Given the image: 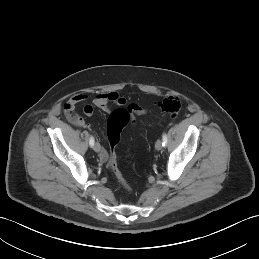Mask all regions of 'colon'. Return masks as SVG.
Instances as JSON below:
<instances>
[{
	"label": "colon",
	"mask_w": 259,
	"mask_h": 259,
	"mask_svg": "<svg viewBox=\"0 0 259 259\" xmlns=\"http://www.w3.org/2000/svg\"><path fill=\"white\" fill-rule=\"evenodd\" d=\"M159 109L167 116L176 117L181 109V102L175 97H168L159 102ZM66 117L73 123L79 120L78 114L74 111V104L68 101L64 105ZM131 119L130 112L124 108H118L111 112L107 121V137L110 149L106 152L105 162L109 170L112 172L117 182L126 191H130L131 187L124 179L120 172L116 160V146L120 141L124 128L129 124Z\"/></svg>",
	"instance_id": "obj_1"
}]
</instances>
